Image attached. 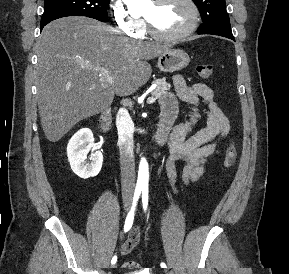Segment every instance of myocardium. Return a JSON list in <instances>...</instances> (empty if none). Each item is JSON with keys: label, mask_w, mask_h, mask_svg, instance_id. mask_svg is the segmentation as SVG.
I'll use <instances>...</instances> for the list:
<instances>
[{"label": "myocardium", "mask_w": 289, "mask_h": 274, "mask_svg": "<svg viewBox=\"0 0 289 274\" xmlns=\"http://www.w3.org/2000/svg\"><path fill=\"white\" fill-rule=\"evenodd\" d=\"M167 1L169 0H154L153 2L155 4H162ZM184 2L188 4L192 13L191 22L186 29L176 34H164V33L159 32L154 27L152 22L144 16V21H145L147 32L155 39L162 40V41H170V42L183 40L189 37L191 34H193L194 31L197 29L199 21H200L199 7L194 0H184Z\"/></svg>", "instance_id": "1"}]
</instances>
